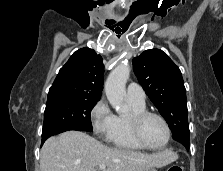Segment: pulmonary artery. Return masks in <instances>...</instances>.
<instances>
[{
  "label": "pulmonary artery",
  "mask_w": 223,
  "mask_h": 171,
  "mask_svg": "<svg viewBox=\"0 0 223 171\" xmlns=\"http://www.w3.org/2000/svg\"><path fill=\"white\" fill-rule=\"evenodd\" d=\"M127 99L136 103L145 104L146 94L140 85L130 83L127 87Z\"/></svg>",
  "instance_id": "e3ab8cb5"
}]
</instances>
